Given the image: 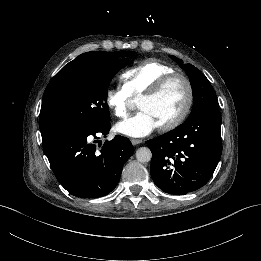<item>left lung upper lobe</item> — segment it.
<instances>
[{
  "label": "left lung upper lobe",
  "instance_id": "1",
  "mask_svg": "<svg viewBox=\"0 0 261 261\" xmlns=\"http://www.w3.org/2000/svg\"><path fill=\"white\" fill-rule=\"evenodd\" d=\"M170 57L186 71L190 78L194 104L192 112L187 120H190L203 112L219 113L216 93L205 75L193 65L183 64V61L175 56Z\"/></svg>",
  "mask_w": 261,
  "mask_h": 261
}]
</instances>
